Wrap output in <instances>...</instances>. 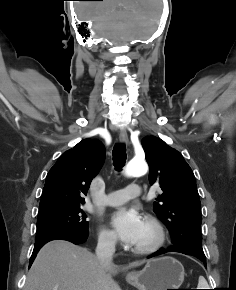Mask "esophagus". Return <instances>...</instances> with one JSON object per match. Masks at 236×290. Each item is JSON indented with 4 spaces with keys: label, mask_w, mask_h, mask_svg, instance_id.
<instances>
[{
    "label": "esophagus",
    "mask_w": 236,
    "mask_h": 290,
    "mask_svg": "<svg viewBox=\"0 0 236 290\" xmlns=\"http://www.w3.org/2000/svg\"><path fill=\"white\" fill-rule=\"evenodd\" d=\"M119 140L122 142V143H127L128 142V135H127V132L126 130L122 129L119 133Z\"/></svg>",
    "instance_id": "esophagus-1"
}]
</instances>
